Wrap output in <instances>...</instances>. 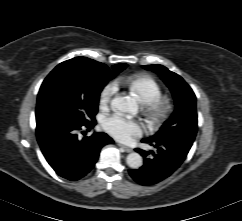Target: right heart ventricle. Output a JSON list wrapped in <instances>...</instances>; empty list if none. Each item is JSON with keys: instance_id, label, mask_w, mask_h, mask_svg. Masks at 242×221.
Returning <instances> with one entry per match:
<instances>
[{"instance_id": "right-heart-ventricle-1", "label": "right heart ventricle", "mask_w": 242, "mask_h": 221, "mask_svg": "<svg viewBox=\"0 0 242 221\" xmlns=\"http://www.w3.org/2000/svg\"><path fill=\"white\" fill-rule=\"evenodd\" d=\"M118 81L124 83L128 89L145 104L159 99L162 95L160 85L155 79L147 75L121 77Z\"/></svg>"}]
</instances>
